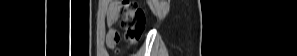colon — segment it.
<instances>
[{
    "mask_svg": "<svg viewBox=\"0 0 297 56\" xmlns=\"http://www.w3.org/2000/svg\"><path fill=\"white\" fill-rule=\"evenodd\" d=\"M117 12L121 16V27L129 42H136L145 29V13L135 1L116 2Z\"/></svg>",
    "mask_w": 297,
    "mask_h": 56,
    "instance_id": "colon-1",
    "label": "colon"
}]
</instances>
